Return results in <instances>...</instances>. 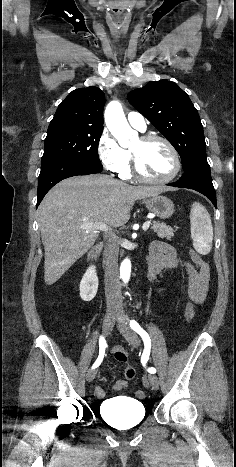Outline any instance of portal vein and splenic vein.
<instances>
[{
  "label": "portal vein and splenic vein",
  "mask_w": 236,
  "mask_h": 467,
  "mask_svg": "<svg viewBox=\"0 0 236 467\" xmlns=\"http://www.w3.org/2000/svg\"><path fill=\"white\" fill-rule=\"evenodd\" d=\"M150 226V222L147 221L143 224V230L144 231H147L148 228ZM87 228H92V229H97V230H101V231H104V232H108V230H110V227L108 225H106L105 223H96V224H91L89 226H86Z\"/></svg>",
  "instance_id": "1"
}]
</instances>
